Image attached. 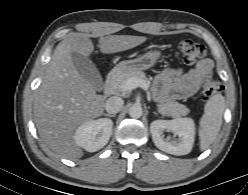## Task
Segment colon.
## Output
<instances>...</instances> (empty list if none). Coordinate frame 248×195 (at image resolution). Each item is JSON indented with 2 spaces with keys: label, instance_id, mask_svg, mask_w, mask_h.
<instances>
[{
  "label": "colon",
  "instance_id": "5ec220e1",
  "mask_svg": "<svg viewBox=\"0 0 248 195\" xmlns=\"http://www.w3.org/2000/svg\"><path fill=\"white\" fill-rule=\"evenodd\" d=\"M179 51L182 62L186 65H194L203 59L206 54L204 45L190 39H184L179 43ZM222 89L221 83L216 79H206L201 90V99L208 100Z\"/></svg>",
  "mask_w": 248,
  "mask_h": 195
}]
</instances>
